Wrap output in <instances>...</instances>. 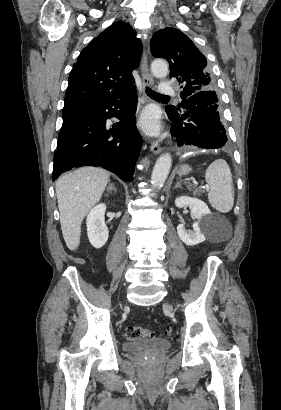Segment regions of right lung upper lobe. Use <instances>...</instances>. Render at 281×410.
Instances as JSON below:
<instances>
[{"instance_id":"right-lung-upper-lobe-1","label":"right lung upper lobe","mask_w":281,"mask_h":410,"mask_svg":"<svg viewBox=\"0 0 281 410\" xmlns=\"http://www.w3.org/2000/svg\"><path fill=\"white\" fill-rule=\"evenodd\" d=\"M142 44L133 28L116 22L80 53L69 75L63 109L93 105L121 95L133 87Z\"/></svg>"}]
</instances>
